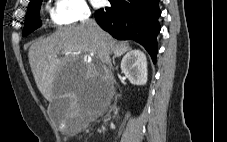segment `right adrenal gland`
<instances>
[{"label":"right adrenal gland","mask_w":227,"mask_h":142,"mask_svg":"<svg viewBox=\"0 0 227 142\" xmlns=\"http://www.w3.org/2000/svg\"><path fill=\"white\" fill-rule=\"evenodd\" d=\"M131 49H126V50H119V51H116L114 52V56H113V64L115 65V58H119L121 57L122 55H124L126 52L130 51Z\"/></svg>","instance_id":"obj_1"}]
</instances>
